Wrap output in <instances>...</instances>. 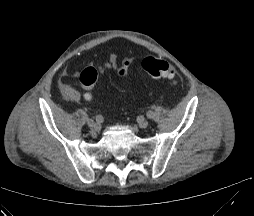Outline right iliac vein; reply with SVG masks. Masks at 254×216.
<instances>
[{"instance_id": "1", "label": "right iliac vein", "mask_w": 254, "mask_h": 216, "mask_svg": "<svg viewBox=\"0 0 254 216\" xmlns=\"http://www.w3.org/2000/svg\"><path fill=\"white\" fill-rule=\"evenodd\" d=\"M87 125L91 128V129H95L97 130L99 128V125L93 121L92 119H88L87 120Z\"/></svg>"}]
</instances>
